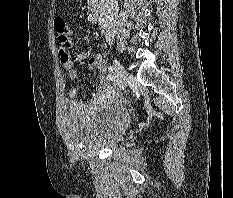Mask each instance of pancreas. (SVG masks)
I'll use <instances>...</instances> for the list:
<instances>
[{
    "instance_id": "cf45deb5",
    "label": "pancreas",
    "mask_w": 233,
    "mask_h": 198,
    "mask_svg": "<svg viewBox=\"0 0 233 198\" xmlns=\"http://www.w3.org/2000/svg\"><path fill=\"white\" fill-rule=\"evenodd\" d=\"M98 0H88V4L91 5V4H94V3H97Z\"/></svg>"
}]
</instances>
